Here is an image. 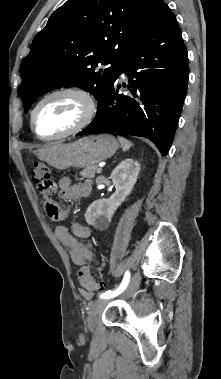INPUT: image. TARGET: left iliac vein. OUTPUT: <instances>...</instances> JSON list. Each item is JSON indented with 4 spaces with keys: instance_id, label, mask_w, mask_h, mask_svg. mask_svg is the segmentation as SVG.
Wrapping results in <instances>:
<instances>
[{
    "instance_id": "obj_1",
    "label": "left iliac vein",
    "mask_w": 221,
    "mask_h": 379,
    "mask_svg": "<svg viewBox=\"0 0 221 379\" xmlns=\"http://www.w3.org/2000/svg\"><path fill=\"white\" fill-rule=\"evenodd\" d=\"M139 285H140V273L137 272L133 276V278H132L130 284L128 285L127 289L125 290V292L122 294V298L125 299V298H129L130 296H132L137 291V289L139 288ZM108 301H109V299H101L100 298L99 300L95 301L92 304L90 311H89V316L87 318V324H88V327L90 329L94 328L97 317L102 313V311L104 310Z\"/></svg>"
}]
</instances>
